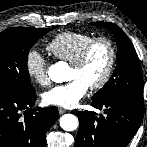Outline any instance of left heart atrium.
Instances as JSON below:
<instances>
[{
  "mask_svg": "<svg viewBox=\"0 0 147 147\" xmlns=\"http://www.w3.org/2000/svg\"><path fill=\"white\" fill-rule=\"evenodd\" d=\"M89 85L81 79H74L62 85H57L43 94L47 105L64 108H74L88 92Z\"/></svg>",
  "mask_w": 147,
  "mask_h": 147,
  "instance_id": "1",
  "label": "left heart atrium"
}]
</instances>
